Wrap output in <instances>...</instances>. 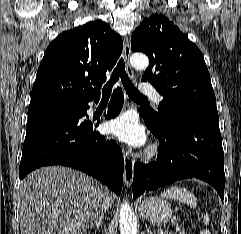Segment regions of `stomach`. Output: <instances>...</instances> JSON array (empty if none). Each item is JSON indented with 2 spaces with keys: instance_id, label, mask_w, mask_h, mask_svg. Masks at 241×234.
<instances>
[{
  "instance_id": "stomach-1",
  "label": "stomach",
  "mask_w": 241,
  "mask_h": 234,
  "mask_svg": "<svg viewBox=\"0 0 241 234\" xmlns=\"http://www.w3.org/2000/svg\"><path fill=\"white\" fill-rule=\"evenodd\" d=\"M140 214L154 224H163L172 217V209L162 198L149 197L139 205Z\"/></svg>"
}]
</instances>
